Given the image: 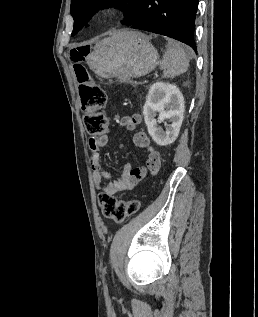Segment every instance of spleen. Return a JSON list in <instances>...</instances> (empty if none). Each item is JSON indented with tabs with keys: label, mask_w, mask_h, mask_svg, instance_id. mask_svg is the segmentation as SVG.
Returning <instances> with one entry per match:
<instances>
[{
	"label": "spleen",
	"mask_w": 258,
	"mask_h": 317,
	"mask_svg": "<svg viewBox=\"0 0 258 317\" xmlns=\"http://www.w3.org/2000/svg\"><path fill=\"white\" fill-rule=\"evenodd\" d=\"M192 48H183L179 42L168 40V48L160 60V68L164 70L163 76H177L186 72L189 64V58H192Z\"/></svg>",
	"instance_id": "3e777b00"
}]
</instances>
